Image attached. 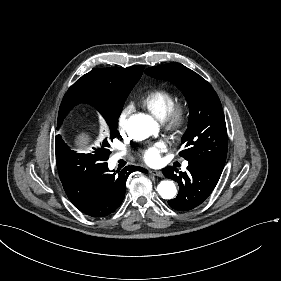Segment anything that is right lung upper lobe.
Wrapping results in <instances>:
<instances>
[{
    "mask_svg": "<svg viewBox=\"0 0 281 281\" xmlns=\"http://www.w3.org/2000/svg\"><path fill=\"white\" fill-rule=\"evenodd\" d=\"M144 66L99 68L77 80L65 94L59 109L57 128L69 110L84 102L99 108H122L140 79Z\"/></svg>",
    "mask_w": 281,
    "mask_h": 281,
    "instance_id": "cb5924a9",
    "label": "right lung upper lobe"
}]
</instances>
